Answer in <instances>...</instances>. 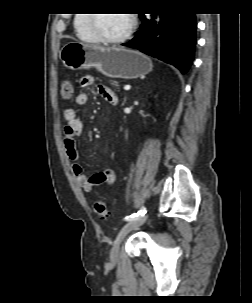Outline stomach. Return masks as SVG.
Listing matches in <instances>:
<instances>
[{"instance_id":"stomach-1","label":"stomach","mask_w":252,"mask_h":303,"mask_svg":"<svg viewBox=\"0 0 252 303\" xmlns=\"http://www.w3.org/2000/svg\"><path fill=\"white\" fill-rule=\"evenodd\" d=\"M63 64L72 70L95 67L110 78L135 79L152 70L151 60L136 50L68 42L60 51Z\"/></svg>"}]
</instances>
